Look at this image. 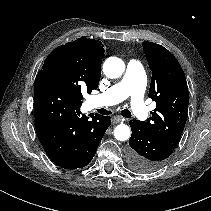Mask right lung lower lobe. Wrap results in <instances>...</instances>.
<instances>
[{
  "label": "right lung lower lobe",
  "instance_id": "right-lung-lower-lobe-1",
  "mask_svg": "<svg viewBox=\"0 0 211 211\" xmlns=\"http://www.w3.org/2000/svg\"><path fill=\"white\" fill-rule=\"evenodd\" d=\"M82 101L68 89L45 79L34 85V116L48 157L65 169L85 167L94 157L110 117L81 116Z\"/></svg>",
  "mask_w": 211,
  "mask_h": 211
}]
</instances>
